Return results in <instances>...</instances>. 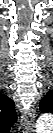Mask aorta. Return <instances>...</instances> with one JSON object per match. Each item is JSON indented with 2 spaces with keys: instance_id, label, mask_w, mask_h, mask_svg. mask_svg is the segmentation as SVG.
Masks as SVG:
<instances>
[{
  "instance_id": "762f6f07",
  "label": "aorta",
  "mask_w": 53,
  "mask_h": 133,
  "mask_svg": "<svg viewBox=\"0 0 53 133\" xmlns=\"http://www.w3.org/2000/svg\"><path fill=\"white\" fill-rule=\"evenodd\" d=\"M52 127V116L49 113L41 115L37 121V129L43 131Z\"/></svg>"
}]
</instances>
